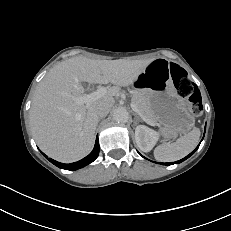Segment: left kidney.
Wrapping results in <instances>:
<instances>
[{
	"label": "left kidney",
	"mask_w": 231,
	"mask_h": 231,
	"mask_svg": "<svg viewBox=\"0 0 231 231\" xmlns=\"http://www.w3.org/2000/svg\"><path fill=\"white\" fill-rule=\"evenodd\" d=\"M158 140V134L154 130L144 125H139L135 129V141L143 152H149Z\"/></svg>",
	"instance_id": "5707ae66"
}]
</instances>
